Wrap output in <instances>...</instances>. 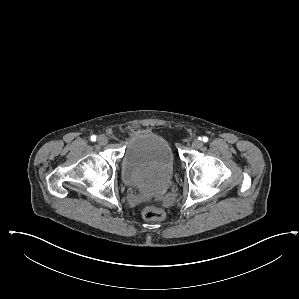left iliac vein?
Instances as JSON below:
<instances>
[{
  "label": "left iliac vein",
  "instance_id": "obj_1",
  "mask_svg": "<svg viewBox=\"0 0 299 299\" xmlns=\"http://www.w3.org/2000/svg\"><path fill=\"white\" fill-rule=\"evenodd\" d=\"M203 146V142L199 139H195L193 142H192V147L194 149H200L201 147Z\"/></svg>",
  "mask_w": 299,
  "mask_h": 299
}]
</instances>
